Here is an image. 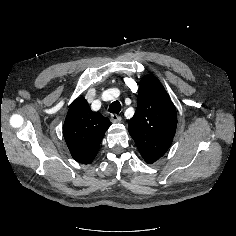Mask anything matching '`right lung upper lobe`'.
Instances as JSON below:
<instances>
[{
	"mask_svg": "<svg viewBox=\"0 0 236 236\" xmlns=\"http://www.w3.org/2000/svg\"><path fill=\"white\" fill-rule=\"evenodd\" d=\"M110 120L99 112L91 111L84 98H77L69 107L63 135L72 157L83 164L95 158Z\"/></svg>",
	"mask_w": 236,
	"mask_h": 236,
	"instance_id": "obj_1",
	"label": "right lung upper lobe"
}]
</instances>
